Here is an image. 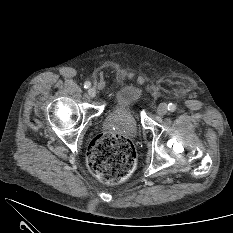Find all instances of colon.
<instances>
[{
  "label": "colon",
  "mask_w": 233,
  "mask_h": 233,
  "mask_svg": "<svg viewBox=\"0 0 233 233\" xmlns=\"http://www.w3.org/2000/svg\"><path fill=\"white\" fill-rule=\"evenodd\" d=\"M136 152L125 136L105 132L96 136L87 152L89 170L104 183L126 179L134 169Z\"/></svg>",
  "instance_id": "5ec220e1"
}]
</instances>
